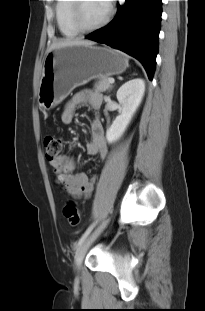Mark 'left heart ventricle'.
Returning a JSON list of instances; mask_svg holds the SVG:
<instances>
[{
	"instance_id": "left-heart-ventricle-1",
	"label": "left heart ventricle",
	"mask_w": 205,
	"mask_h": 311,
	"mask_svg": "<svg viewBox=\"0 0 205 311\" xmlns=\"http://www.w3.org/2000/svg\"><path fill=\"white\" fill-rule=\"evenodd\" d=\"M107 12L108 7L104 0H85L82 4L81 15L86 26L100 23Z\"/></svg>"
}]
</instances>
